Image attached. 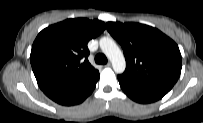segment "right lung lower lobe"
Wrapping results in <instances>:
<instances>
[{"label": "right lung lower lobe", "mask_w": 203, "mask_h": 123, "mask_svg": "<svg viewBox=\"0 0 203 123\" xmlns=\"http://www.w3.org/2000/svg\"><path fill=\"white\" fill-rule=\"evenodd\" d=\"M100 75L88 80L62 82L42 89L53 101L61 105H76L83 102L94 90Z\"/></svg>", "instance_id": "obj_1"}]
</instances>
